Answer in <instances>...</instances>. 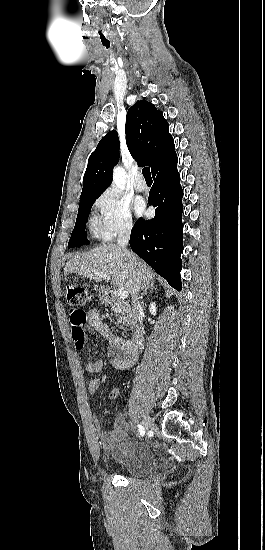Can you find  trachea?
Listing matches in <instances>:
<instances>
[{
  "label": "trachea",
  "mask_w": 265,
  "mask_h": 550,
  "mask_svg": "<svg viewBox=\"0 0 265 550\" xmlns=\"http://www.w3.org/2000/svg\"><path fill=\"white\" fill-rule=\"evenodd\" d=\"M142 174H143L145 180H152L151 173H150V168H149V167H144V168L142 169Z\"/></svg>",
  "instance_id": "3493384b"
}]
</instances>
